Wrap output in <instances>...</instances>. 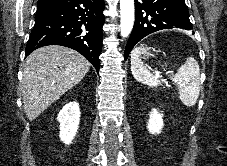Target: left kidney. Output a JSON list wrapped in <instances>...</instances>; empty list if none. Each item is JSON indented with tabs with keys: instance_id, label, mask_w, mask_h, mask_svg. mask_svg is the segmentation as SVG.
Returning <instances> with one entry per match:
<instances>
[{
	"instance_id": "1",
	"label": "left kidney",
	"mask_w": 227,
	"mask_h": 166,
	"mask_svg": "<svg viewBox=\"0 0 227 166\" xmlns=\"http://www.w3.org/2000/svg\"><path fill=\"white\" fill-rule=\"evenodd\" d=\"M163 114H160L156 109H152L150 118L147 124L148 131L151 134H159L163 128Z\"/></svg>"
}]
</instances>
